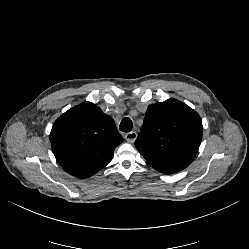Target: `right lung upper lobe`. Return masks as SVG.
<instances>
[{
	"label": "right lung upper lobe",
	"mask_w": 249,
	"mask_h": 249,
	"mask_svg": "<svg viewBox=\"0 0 249 249\" xmlns=\"http://www.w3.org/2000/svg\"><path fill=\"white\" fill-rule=\"evenodd\" d=\"M50 142L57 162L66 172L88 178L112 160L123 138L110 116L95 104L83 102L55 121Z\"/></svg>",
	"instance_id": "cb5924a9"
}]
</instances>
